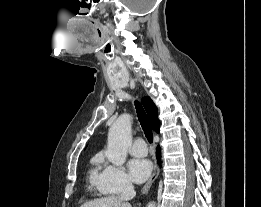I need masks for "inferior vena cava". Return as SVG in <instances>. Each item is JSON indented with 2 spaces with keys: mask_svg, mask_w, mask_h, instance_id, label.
<instances>
[{
  "mask_svg": "<svg viewBox=\"0 0 261 207\" xmlns=\"http://www.w3.org/2000/svg\"><path fill=\"white\" fill-rule=\"evenodd\" d=\"M136 192L134 186L130 181H125L123 184V189L120 198L124 201L131 200L135 197Z\"/></svg>",
  "mask_w": 261,
  "mask_h": 207,
  "instance_id": "602c4592",
  "label": "inferior vena cava"
}]
</instances>
